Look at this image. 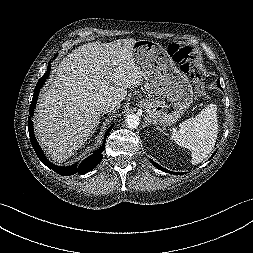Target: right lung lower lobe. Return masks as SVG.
Masks as SVG:
<instances>
[{
    "label": "right lung lower lobe",
    "instance_id": "right-lung-lower-lobe-1",
    "mask_svg": "<svg viewBox=\"0 0 253 253\" xmlns=\"http://www.w3.org/2000/svg\"><path fill=\"white\" fill-rule=\"evenodd\" d=\"M50 65H48L47 67V71L44 73V75L39 79L35 90H34V95H33V99L30 105V117L28 120V129H29V136H30V140H31V144L33 146V149L36 153V155L38 156V158L40 159V161L45 164L48 168L52 169L53 171H55L56 173L63 175V176H70L73 175L75 173L78 174H85L89 171H91L92 169H94L98 163L101 161L102 159V152L105 148V141L106 138L110 132V130L112 129L113 125L110 126L105 134L104 137V141H103V145L95 150L94 154L90 155L89 157H87L85 160H83L80 164H73L71 166H67V167H62V166H57L52 164L44 155L42 149L40 148L39 144L37 143V140L35 138L34 135V130H33V122L31 117H33V113H34V109H35V105L37 102V97L39 94V91L41 89V87L43 86V84L45 83L46 79L48 78L49 74H50Z\"/></svg>",
    "mask_w": 253,
    "mask_h": 253
}]
</instances>
